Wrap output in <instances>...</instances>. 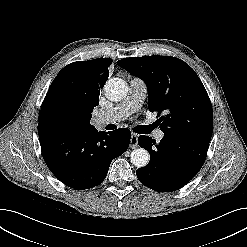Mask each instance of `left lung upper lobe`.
Instances as JSON below:
<instances>
[{
    "label": "left lung upper lobe",
    "instance_id": "obj_1",
    "mask_svg": "<svg viewBox=\"0 0 247 247\" xmlns=\"http://www.w3.org/2000/svg\"><path fill=\"white\" fill-rule=\"evenodd\" d=\"M117 64L143 79L148 109L164 113L156 122L166 135L210 142L213 111L209 96L195 71L169 56L124 58Z\"/></svg>",
    "mask_w": 247,
    "mask_h": 247
}]
</instances>
